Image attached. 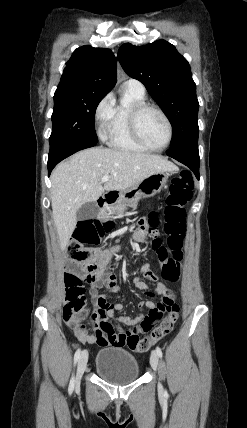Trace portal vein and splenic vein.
Returning <instances> with one entry per match:
<instances>
[{
    "label": "portal vein and splenic vein",
    "mask_w": 247,
    "mask_h": 428,
    "mask_svg": "<svg viewBox=\"0 0 247 428\" xmlns=\"http://www.w3.org/2000/svg\"><path fill=\"white\" fill-rule=\"evenodd\" d=\"M109 179V175H105L101 178L102 182H106Z\"/></svg>",
    "instance_id": "18ae733b"
}]
</instances>
